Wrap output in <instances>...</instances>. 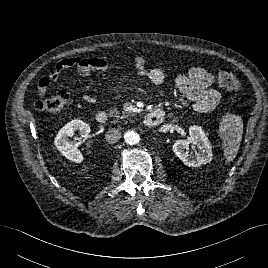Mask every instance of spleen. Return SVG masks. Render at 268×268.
<instances>
[{
  "mask_svg": "<svg viewBox=\"0 0 268 268\" xmlns=\"http://www.w3.org/2000/svg\"><path fill=\"white\" fill-rule=\"evenodd\" d=\"M219 133L224 141L225 158L230 162L236 157L242 140V118L239 115L227 114L220 125Z\"/></svg>",
  "mask_w": 268,
  "mask_h": 268,
  "instance_id": "3e777b00",
  "label": "spleen"
}]
</instances>
